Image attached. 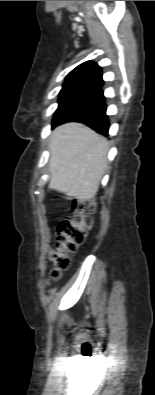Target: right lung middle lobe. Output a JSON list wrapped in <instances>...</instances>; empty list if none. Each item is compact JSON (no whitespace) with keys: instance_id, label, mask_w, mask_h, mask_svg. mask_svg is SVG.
<instances>
[{"instance_id":"dd1d6c3e","label":"right lung middle lobe","mask_w":155,"mask_h":395,"mask_svg":"<svg viewBox=\"0 0 155 395\" xmlns=\"http://www.w3.org/2000/svg\"><path fill=\"white\" fill-rule=\"evenodd\" d=\"M102 93L99 87L81 84L63 85L52 126L77 114L98 99Z\"/></svg>"}]
</instances>
